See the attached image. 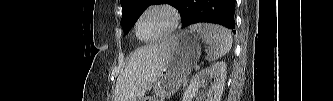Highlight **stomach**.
I'll list each match as a JSON object with an SVG mask.
<instances>
[{
    "label": "stomach",
    "mask_w": 333,
    "mask_h": 101,
    "mask_svg": "<svg viewBox=\"0 0 333 101\" xmlns=\"http://www.w3.org/2000/svg\"><path fill=\"white\" fill-rule=\"evenodd\" d=\"M168 54L160 74L151 86L155 95L141 97L137 101H159L178 91L201 55L200 37L184 30L166 41Z\"/></svg>",
    "instance_id": "obj_1"
}]
</instances>
